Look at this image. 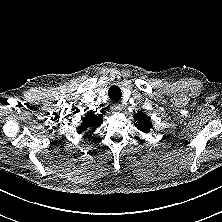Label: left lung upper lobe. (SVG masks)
Returning <instances> with one entry per match:
<instances>
[{"instance_id": "left-lung-upper-lobe-1", "label": "left lung upper lobe", "mask_w": 222, "mask_h": 222, "mask_svg": "<svg viewBox=\"0 0 222 222\" xmlns=\"http://www.w3.org/2000/svg\"><path fill=\"white\" fill-rule=\"evenodd\" d=\"M134 118L137 120L135 126H137L139 130H141L144 133L150 132V130L152 129V123L147 115H145L142 112H138L137 114L134 115Z\"/></svg>"}]
</instances>
